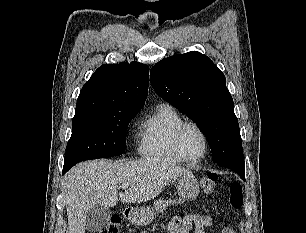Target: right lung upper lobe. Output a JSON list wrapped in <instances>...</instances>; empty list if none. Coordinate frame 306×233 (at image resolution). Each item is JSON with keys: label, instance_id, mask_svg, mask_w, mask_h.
Masks as SVG:
<instances>
[{"label": "right lung upper lobe", "instance_id": "right-lung-upper-lobe-1", "mask_svg": "<svg viewBox=\"0 0 306 233\" xmlns=\"http://www.w3.org/2000/svg\"><path fill=\"white\" fill-rule=\"evenodd\" d=\"M148 83L147 65L138 62L105 64L84 84L76 107L139 111L147 97Z\"/></svg>", "mask_w": 306, "mask_h": 233}]
</instances>
